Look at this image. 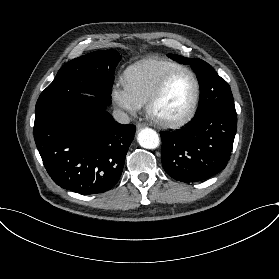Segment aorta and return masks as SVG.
Returning a JSON list of instances; mask_svg holds the SVG:
<instances>
[{
    "instance_id": "762f6f07",
    "label": "aorta",
    "mask_w": 279,
    "mask_h": 279,
    "mask_svg": "<svg viewBox=\"0 0 279 279\" xmlns=\"http://www.w3.org/2000/svg\"><path fill=\"white\" fill-rule=\"evenodd\" d=\"M141 147L146 149H155L160 144V139L156 131L151 128L142 129L137 137Z\"/></svg>"
}]
</instances>
